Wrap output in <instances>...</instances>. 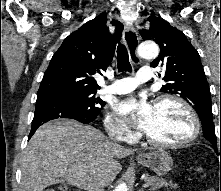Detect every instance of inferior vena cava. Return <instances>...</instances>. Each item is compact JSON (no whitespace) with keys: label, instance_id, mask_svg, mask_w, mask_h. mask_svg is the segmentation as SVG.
<instances>
[{"label":"inferior vena cava","instance_id":"602c4592","mask_svg":"<svg viewBox=\"0 0 221 191\" xmlns=\"http://www.w3.org/2000/svg\"><path fill=\"white\" fill-rule=\"evenodd\" d=\"M105 182L103 180H100L96 182L90 191H104Z\"/></svg>","mask_w":221,"mask_h":191}]
</instances>
